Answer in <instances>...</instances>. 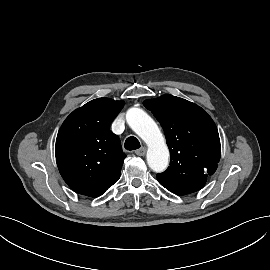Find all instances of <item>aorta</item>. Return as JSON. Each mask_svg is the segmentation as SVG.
<instances>
[{
  "label": "aorta",
  "mask_w": 270,
  "mask_h": 270,
  "mask_svg": "<svg viewBox=\"0 0 270 270\" xmlns=\"http://www.w3.org/2000/svg\"><path fill=\"white\" fill-rule=\"evenodd\" d=\"M126 120L132 130L147 144V163L155 172H163L169 163V150L155 121L142 109L131 108Z\"/></svg>",
  "instance_id": "762f6f07"
}]
</instances>
